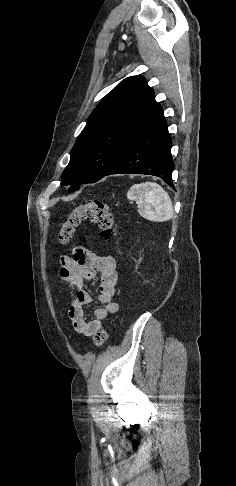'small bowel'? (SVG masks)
<instances>
[{
    "instance_id": "1",
    "label": "small bowel",
    "mask_w": 236,
    "mask_h": 486,
    "mask_svg": "<svg viewBox=\"0 0 236 486\" xmlns=\"http://www.w3.org/2000/svg\"><path fill=\"white\" fill-rule=\"evenodd\" d=\"M60 263L59 276L75 287L68 310L73 328L83 336H92L101 328L102 321L119 309L113 299L118 279L116 261L112 256L97 255L84 247H77L73 256H62ZM97 274L100 277L98 300L102 307L96 308L91 319L86 320L83 306L90 304L93 297L84 289V284Z\"/></svg>"
}]
</instances>
